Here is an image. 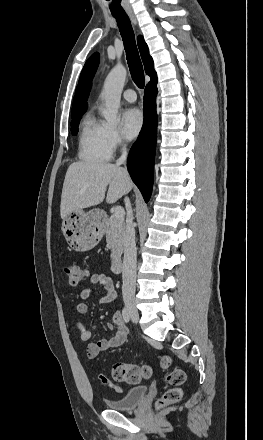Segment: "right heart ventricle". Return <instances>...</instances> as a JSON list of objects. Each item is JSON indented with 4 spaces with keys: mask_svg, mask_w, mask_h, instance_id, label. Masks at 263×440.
Listing matches in <instances>:
<instances>
[{
    "mask_svg": "<svg viewBox=\"0 0 263 440\" xmlns=\"http://www.w3.org/2000/svg\"><path fill=\"white\" fill-rule=\"evenodd\" d=\"M107 127L92 112L85 115L78 143V154L83 161L103 162L111 158L112 150L106 138Z\"/></svg>",
    "mask_w": 263,
    "mask_h": 440,
    "instance_id": "obj_1",
    "label": "right heart ventricle"
}]
</instances>
